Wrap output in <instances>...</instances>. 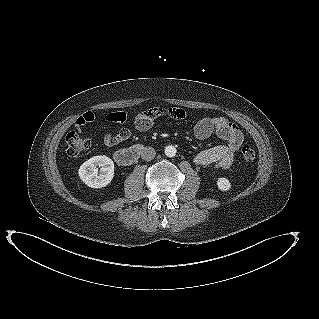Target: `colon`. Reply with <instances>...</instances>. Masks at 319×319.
<instances>
[{"label":"colon","mask_w":319,"mask_h":319,"mask_svg":"<svg viewBox=\"0 0 319 319\" xmlns=\"http://www.w3.org/2000/svg\"><path fill=\"white\" fill-rule=\"evenodd\" d=\"M107 119L112 122L123 123L126 116L124 113L117 112L108 115ZM65 143L66 153L70 157L78 156L79 154L87 151L91 146V143L87 138L82 137L76 132L68 133L65 138ZM242 157L245 161L252 162L255 159V151L248 146H244L242 148Z\"/></svg>","instance_id":"colon-1"}]
</instances>
